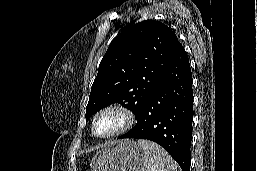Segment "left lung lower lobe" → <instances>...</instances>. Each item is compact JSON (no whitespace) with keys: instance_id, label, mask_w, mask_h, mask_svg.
<instances>
[{"instance_id":"left-lung-lower-lobe-1","label":"left lung lower lobe","mask_w":257,"mask_h":171,"mask_svg":"<svg viewBox=\"0 0 257 171\" xmlns=\"http://www.w3.org/2000/svg\"><path fill=\"white\" fill-rule=\"evenodd\" d=\"M192 120V73L182 47L164 71L137 124L118 139L154 141L176 160L182 171H189Z\"/></svg>"}]
</instances>
